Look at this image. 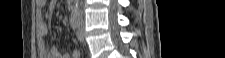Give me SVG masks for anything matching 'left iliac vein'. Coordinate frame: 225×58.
<instances>
[{"instance_id":"4c4485c4","label":"left iliac vein","mask_w":225,"mask_h":58,"mask_svg":"<svg viewBox=\"0 0 225 58\" xmlns=\"http://www.w3.org/2000/svg\"><path fill=\"white\" fill-rule=\"evenodd\" d=\"M83 20H79V23H78V34H79V38H83L84 37V28H83Z\"/></svg>"}]
</instances>
